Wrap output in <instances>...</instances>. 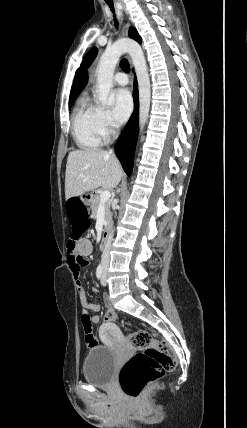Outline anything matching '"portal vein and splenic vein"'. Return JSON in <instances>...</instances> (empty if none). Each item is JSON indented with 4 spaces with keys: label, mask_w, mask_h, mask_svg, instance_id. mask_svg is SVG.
Here are the masks:
<instances>
[{
    "label": "portal vein and splenic vein",
    "mask_w": 247,
    "mask_h": 428,
    "mask_svg": "<svg viewBox=\"0 0 247 428\" xmlns=\"http://www.w3.org/2000/svg\"><path fill=\"white\" fill-rule=\"evenodd\" d=\"M110 196H111L110 191H107V190L103 191L100 194V201H101V203L107 202L109 200Z\"/></svg>",
    "instance_id": "obj_1"
}]
</instances>
